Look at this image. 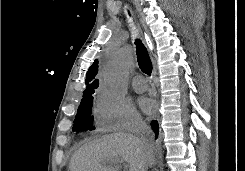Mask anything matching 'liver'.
<instances>
[{"mask_svg": "<svg viewBox=\"0 0 245 171\" xmlns=\"http://www.w3.org/2000/svg\"><path fill=\"white\" fill-rule=\"evenodd\" d=\"M120 159L129 164V171H141L155 164L154 153L149 159L138 137L126 133L105 135L75 151L70 171H119L118 166L106 167L103 162Z\"/></svg>", "mask_w": 245, "mask_h": 171, "instance_id": "liver-1", "label": "liver"}]
</instances>
